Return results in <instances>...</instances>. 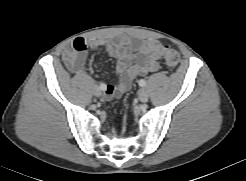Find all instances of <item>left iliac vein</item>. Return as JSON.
I'll return each mask as SVG.
<instances>
[{"instance_id":"obj_1","label":"left iliac vein","mask_w":246,"mask_h":181,"mask_svg":"<svg viewBox=\"0 0 246 181\" xmlns=\"http://www.w3.org/2000/svg\"><path fill=\"white\" fill-rule=\"evenodd\" d=\"M148 92L145 90V89H141L139 91V100L143 103L147 102L148 101Z\"/></svg>"}]
</instances>
